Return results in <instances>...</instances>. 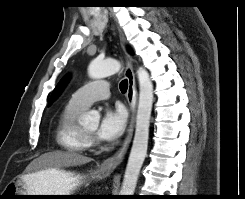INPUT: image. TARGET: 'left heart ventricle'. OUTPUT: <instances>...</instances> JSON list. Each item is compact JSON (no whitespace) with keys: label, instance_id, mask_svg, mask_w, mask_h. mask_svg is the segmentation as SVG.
<instances>
[{"label":"left heart ventricle","instance_id":"obj_1","mask_svg":"<svg viewBox=\"0 0 245 199\" xmlns=\"http://www.w3.org/2000/svg\"><path fill=\"white\" fill-rule=\"evenodd\" d=\"M97 129H98V123H97V122H95V123H93V124H91V125H89V126H87V127L85 128V130H86L88 133L94 134V135H95V133L97 132Z\"/></svg>","mask_w":245,"mask_h":199}]
</instances>
